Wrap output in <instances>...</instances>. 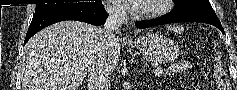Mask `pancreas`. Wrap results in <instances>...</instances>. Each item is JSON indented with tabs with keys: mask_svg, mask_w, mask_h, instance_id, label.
Listing matches in <instances>:
<instances>
[{
	"mask_svg": "<svg viewBox=\"0 0 237 90\" xmlns=\"http://www.w3.org/2000/svg\"><path fill=\"white\" fill-rule=\"evenodd\" d=\"M188 69H191V64H177V66L169 68L172 74H181V72H188Z\"/></svg>",
	"mask_w": 237,
	"mask_h": 90,
	"instance_id": "1",
	"label": "pancreas"
}]
</instances>
